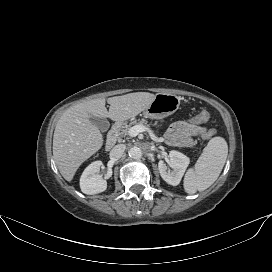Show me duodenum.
<instances>
[{
  "label": "duodenum",
  "instance_id": "410a0bca",
  "mask_svg": "<svg viewBox=\"0 0 272 272\" xmlns=\"http://www.w3.org/2000/svg\"><path fill=\"white\" fill-rule=\"evenodd\" d=\"M120 130H121V123L116 122L112 126L111 130L109 131L107 139H106L105 149L107 151L111 150L116 145Z\"/></svg>",
  "mask_w": 272,
  "mask_h": 272
}]
</instances>
